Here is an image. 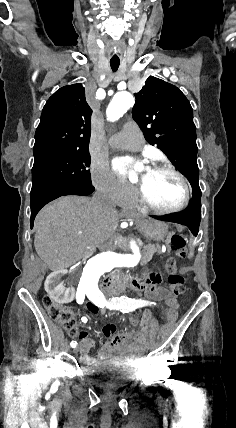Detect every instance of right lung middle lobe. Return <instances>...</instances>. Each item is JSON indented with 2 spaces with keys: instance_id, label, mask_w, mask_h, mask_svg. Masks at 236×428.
Here are the masks:
<instances>
[{
  "instance_id": "obj_1",
  "label": "right lung middle lobe",
  "mask_w": 236,
  "mask_h": 428,
  "mask_svg": "<svg viewBox=\"0 0 236 428\" xmlns=\"http://www.w3.org/2000/svg\"><path fill=\"white\" fill-rule=\"evenodd\" d=\"M31 193L60 186H91L90 154L88 148L33 151Z\"/></svg>"
}]
</instances>
